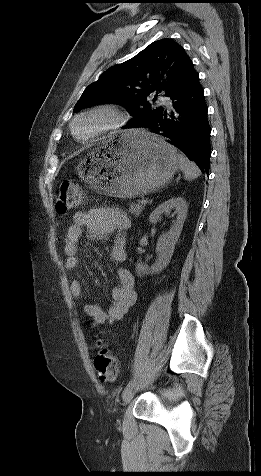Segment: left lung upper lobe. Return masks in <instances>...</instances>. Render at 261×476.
<instances>
[{"label":"left lung upper lobe","instance_id":"5c2ea615","mask_svg":"<svg viewBox=\"0 0 261 476\" xmlns=\"http://www.w3.org/2000/svg\"><path fill=\"white\" fill-rule=\"evenodd\" d=\"M192 68L181 45L171 39L155 41L130 60L103 72L84 90L73 112L100 103L120 104L133 116L124 127H141L162 110L151 106L148 100L155 95V101L160 92L171 96Z\"/></svg>","mask_w":261,"mask_h":476}]
</instances>
